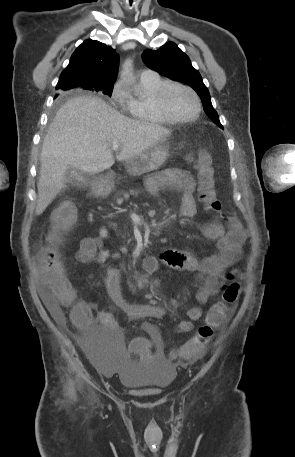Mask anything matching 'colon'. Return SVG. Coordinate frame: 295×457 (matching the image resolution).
I'll list each match as a JSON object with an SVG mask.
<instances>
[{"instance_id":"obj_1","label":"colon","mask_w":295,"mask_h":457,"mask_svg":"<svg viewBox=\"0 0 295 457\" xmlns=\"http://www.w3.org/2000/svg\"><path fill=\"white\" fill-rule=\"evenodd\" d=\"M196 167L199 176V199L207 211L219 214L221 204L216 195L214 169L207 152L198 153ZM75 219L76 209L71 203H62L56 208L51 217L52 230L46 237V245L43 247L40 257L41 271L47 277L50 289L61 304L73 307L74 319L76 318L74 311L77 306V292L65 275L57 243L60 232L68 229ZM226 278L229 283L224 287L221 299L211 306L205 323L196 334L177 351L169 352L172 360L188 361L203 353L212 339L214 331L229 317L231 306L237 301L240 289L234 281L235 274L232 271L226 274ZM134 339L135 341L127 342V349L130 355H134V362H140L141 365L146 366L154 356L150 341H144L143 333H136Z\"/></svg>"}]
</instances>
